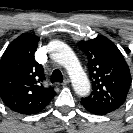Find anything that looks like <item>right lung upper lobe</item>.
<instances>
[{
	"label": "right lung upper lobe",
	"mask_w": 133,
	"mask_h": 133,
	"mask_svg": "<svg viewBox=\"0 0 133 133\" xmlns=\"http://www.w3.org/2000/svg\"><path fill=\"white\" fill-rule=\"evenodd\" d=\"M38 41L33 34H22L9 44L0 60V98L20 114L42 111L55 95L52 87L43 85V67L34 58Z\"/></svg>",
	"instance_id": "right-lung-upper-lobe-1"
}]
</instances>
